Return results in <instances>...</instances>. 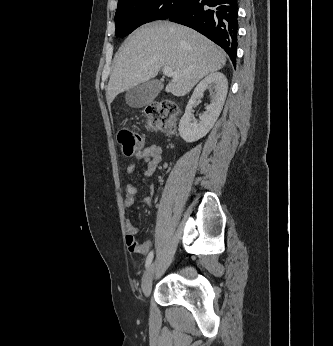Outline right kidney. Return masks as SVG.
Returning <instances> with one entry per match:
<instances>
[{"label": "right kidney", "mask_w": 333, "mask_h": 346, "mask_svg": "<svg viewBox=\"0 0 333 346\" xmlns=\"http://www.w3.org/2000/svg\"><path fill=\"white\" fill-rule=\"evenodd\" d=\"M213 92L212 101L206 112L200 116V122L193 120L191 110L196 100L203 96L205 90ZM228 91V81L221 72H213L206 76L195 87L186 106L185 113L179 123V134L186 142H194L204 137L214 126L223 108Z\"/></svg>", "instance_id": "obj_1"}]
</instances>
